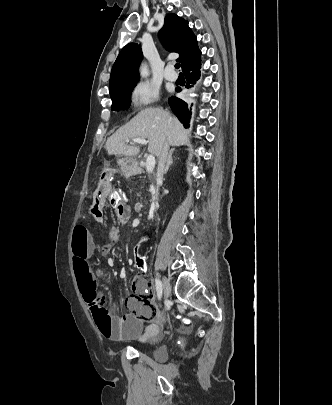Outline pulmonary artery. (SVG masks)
I'll return each instance as SVG.
<instances>
[{
  "mask_svg": "<svg viewBox=\"0 0 332 405\" xmlns=\"http://www.w3.org/2000/svg\"><path fill=\"white\" fill-rule=\"evenodd\" d=\"M164 77L165 79L169 80V81H175L178 77L177 73L173 70V66L172 65H168L165 68L164 71Z\"/></svg>",
  "mask_w": 332,
  "mask_h": 405,
  "instance_id": "obj_1",
  "label": "pulmonary artery"
}]
</instances>
